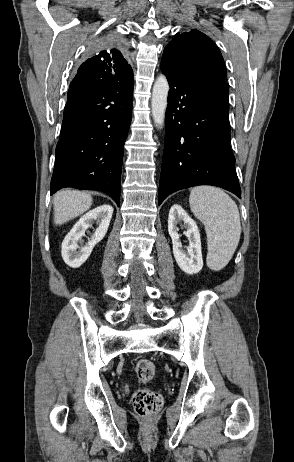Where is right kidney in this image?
<instances>
[{"label": "right kidney", "instance_id": "right-kidney-1", "mask_svg": "<svg viewBox=\"0 0 294 462\" xmlns=\"http://www.w3.org/2000/svg\"><path fill=\"white\" fill-rule=\"evenodd\" d=\"M112 214L113 207L104 204L87 212L73 226L62 242L61 254L68 266L79 268L88 259L94 246L105 237ZM94 222L97 223L98 227L93 234H90L91 237L88 242L83 245L82 238Z\"/></svg>", "mask_w": 294, "mask_h": 462}]
</instances>
